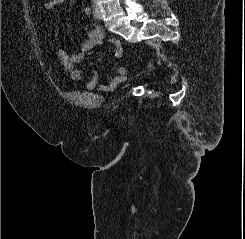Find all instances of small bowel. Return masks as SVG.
<instances>
[{
	"label": "small bowel",
	"mask_w": 245,
	"mask_h": 239,
	"mask_svg": "<svg viewBox=\"0 0 245 239\" xmlns=\"http://www.w3.org/2000/svg\"><path fill=\"white\" fill-rule=\"evenodd\" d=\"M67 0H48L45 3L47 10H54L55 8L62 6ZM104 39V33L102 28L92 23L86 28V39L80 44L76 53L69 55L66 51L60 49L58 51V57L61 60L63 69L70 75L73 81H81L83 79L82 71L76 67L77 64L83 61L88 52L97 47ZM109 42L114 48V57L116 59L123 58V49L120 42L116 39H110ZM127 79V67L124 64L117 66V74L107 83L98 84L99 74L97 71H93L90 78L84 83L87 89H98L102 92H112L118 85L125 82Z\"/></svg>",
	"instance_id": "obj_1"
}]
</instances>
